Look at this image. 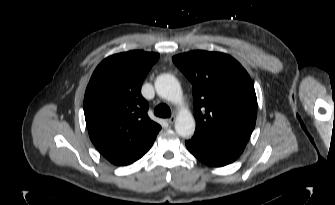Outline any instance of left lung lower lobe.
<instances>
[{
  "instance_id": "0a47b994",
  "label": "left lung lower lobe",
  "mask_w": 335,
  "mask_h": 205,
  "mask_svg": "<svg viewBox=\"0 0 335 205\" xmlns=\"http://www.w3.org/2000/svg\"><path fill=\"white\" fill-rule=\"evenodd\" d=\"M186 147L200 161L213 167H222L232 163L244 150L241 147L215 143L196 135L186 141Z\"/></svg>"
}]
</instances>
